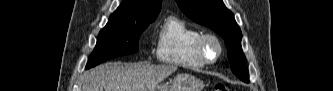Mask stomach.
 Masks as SVG:
<instances>
[{
	"instance_id": "stomach-1",
	"label": "stomach",
	"mask_w": 333,
	"mask_h": 91,
	"mask_svg": "<svg viewBox=\"0 0 333 91\" xmlns=\"http://www.w3.org/2000/svg\"><path fill=\"white\" fill-rule=\"evenodd\" d=\"M203 82L189 74H178L171 82V86L166 84L157 85L153 91H201Z\"/></svg>"
}]
</instances>
